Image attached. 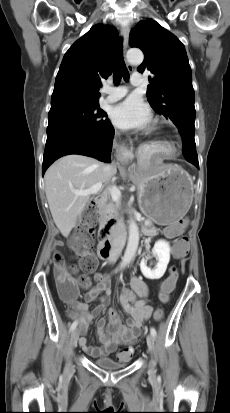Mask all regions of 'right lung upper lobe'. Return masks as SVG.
<instances>
[{"instance_id": "right-lung-upper-lobe-1", "label": "right lung upper lobe", "mask_w": 230, "mask_h": 413, "mask_svg": "<svg viewBox=\"0 0 230 413\" xmlns=\"http://www.w3.org/2000/svg\"><path fill=\"white\" fill-rule=\"evenodd\" d=\"M117 36L115 27L96 24L69 48L56 76L51 109L99 104L101 80L112 73Z\"/></svg>"}]
</instances>
